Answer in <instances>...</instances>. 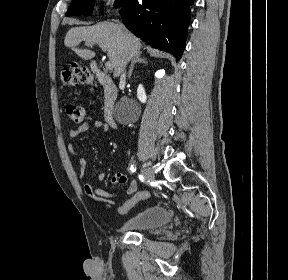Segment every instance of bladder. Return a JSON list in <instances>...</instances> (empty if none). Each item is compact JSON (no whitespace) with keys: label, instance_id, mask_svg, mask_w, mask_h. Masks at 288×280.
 Returning a JSON list of instances; mask_svg holds the SVG:
<instances>
[{"label":"bladder","instance_id":"31cf9c89","mask_svg":"<svg viewBox=\"0 0 288 280\" xmlns=\"http://www.w3.org/2000/svg\"><path fill=\"white\" fill-rule=\"evenodd\" d=\"M172 220L171 211L163 206H152L146 208L128 220L121 228L125 231H143L162 227Z\"/></svg>","mask_w":288,"mask_h":280}]
</instances>
